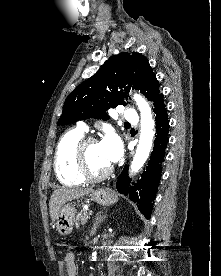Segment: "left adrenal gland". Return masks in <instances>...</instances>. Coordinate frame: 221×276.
<instances>
[{"label":"left adrenal gland","mask_w":221,"mask_h":276,"mask_svg":"<svg viewBox=\"0 0 221 276\" xmlns=\"http://www.w3.org/2000/svg\"><path fill=\"white\" fill-rule=\"evenodd\" d=\"M101 214H102V212H99L96 214V218L94 220V225H93V228L91 231L92 235L96 232V229H97L99 223L106 218V215H101Z\"/></svg>","instance_id":"a2214340"}]
</instances>
